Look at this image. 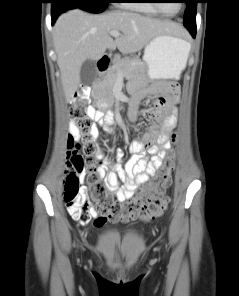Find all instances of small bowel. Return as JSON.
Segmentation results:
<instances>
[{
	"label": "small bowel",
	"mask_w": 239,
	"mask_h": 296,
	"mask_svg": "<svg viewBox=\"0 0 239 296\" xmlns=\"http://www.w3.org/2000/svg\"><path fill=\"white\" fill-rule=\"evenodd\" d=\"M169 90L167 105L162 97L154 102L153 109L150 112V116L154 119V124L141 138L130 143L129 151L132 155L124 162V165L112 168L111 159L109 157L103 158V164L100 168L101 176L104 178L108 190L115 195L119 202L129 199L140 185L146 183L150 176L162 167L166 153L171 147L170 136L177 124V109L174 104L177 101L178 90L175 84L170 85ZM142 97L141 91H133L129 107V114L132 120H135L139 114L138 105ZM90 116L104 125L105 131L112 132L110 125L113 122V114L111 112L104 116L103 113L91 109ZM70 131L77 135V130L73 123L70 124ZM93 134L96 137L99 135V130L96 126H94ZM147 154L151 156L150 159ZM100 156H103L102 152ZM123 156L122 151H117L119 160L122 161ZM90 214L91 217L95 218V226L99 227L105 223V221L98 222L95 209H91ZM134 218L130 215L122 216L123 221H129ZM88 222H82V224H87Z\"/></svg>",
	"instance_id": "obj_1"
}]
</instances>
